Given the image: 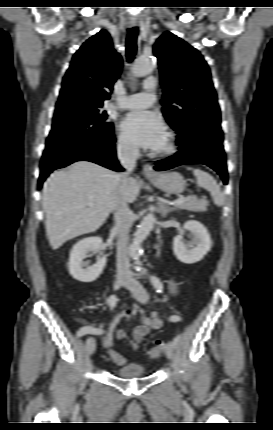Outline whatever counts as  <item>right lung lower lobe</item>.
<instances>
[{"label":"right lung lower lobe","instance_id":"obj_1","mask_svg":"<svg viewBox=\"0 0 273 430\" xmlns=\"http://www.w3.org/2000/svg\"><path fill=\"white\" fill-rule=\"evenodd\" d=\"M114 142L113 137L107 143L89 142L44 154L40 166L38 187L41 188L43 181L53 170L80 160L91 161L115 171H122L123 168L116 159Z\"/></svg>","mask_w":273,"mask_h":430}]
</instances>
